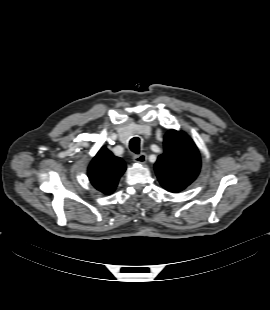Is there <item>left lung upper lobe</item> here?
<instances>
[{
	"mask_svg": "<svg viewBox=\"0 0 270 310\" xmlns=\"http://www.w3.org/2000/svg\"><path fill=\"white\" fill-rule=\"evenodd\" d=\"M200 167V154L192 139L183 132L168 131L164 153L155 163L161 185L170 192H180L196 179Z\"/></svg>",
	"mask_w": 270,
	"mask_h": 310,
	"instance_id": "5c2ea615",
	"label": "left lung upper lobe"
}]
</instances>
